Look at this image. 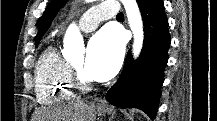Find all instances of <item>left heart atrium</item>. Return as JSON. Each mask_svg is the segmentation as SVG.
I'll return each instance as SVG.
<instances>
[{
  "label": "left heart atrium",
  "instance_id": "left-heart-atrium-1",
  "mask_svg": "<svg viewBox=\"0 0 217 121\" xmlns=\"http://www.w3.org/2000/svg\"><path fill=\"white\" fill-rule=\"evenodd\" d=\"M123 57L120 34L111 27L99 31L89 42L85 61L86 75L95 81H105L118 71Z\"/></svg>",
  "mask_w": 217,
  "mask_h": 121
}]
</instances>
